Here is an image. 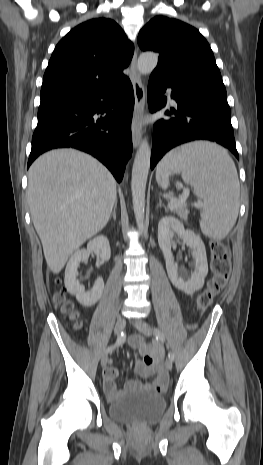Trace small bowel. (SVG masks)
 Segmentation results:
<instances>
[{
  "instance_id": "obj_1",
  "label": "small bowel",
  "mask_w": 263,
  "mask_h": 465,
  "mask_svg": "<svg viewBox=\"0 0 263 465\" xmlns=\"http://www.w3.org/2000/svg\"><path fill=\"white\" fill-rule=\"evenodd\" d=\"M199 327L200 322L195 321L192 325H188L187 329L198 330ZM129 345L136 356V373L142 378L150 379V381L146 384H142L139 381L130 380L126 383L125 388L145 387L157 392L163 391L167 386L168 376L160 363L161 350L159 347L149 346L137 335L129 339ZM118 374V368L112 365H108L103 372L104 389L110 398H116L120 394L116 384Z\"/></svg>"
}]
</instances>
